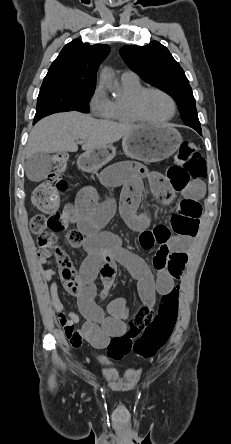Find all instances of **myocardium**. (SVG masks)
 Returning a JSON list of instances; mask_svg holds the SVG:
<instances>
[{
	"instance_id": "myocardium-1",
	"label": "myocardium",
	"mask_w": 231,
	"mask_h": 444,
	"mask_svg": "<svg viewBox=\"0 0 231 444\" xmlns=\"http://www.w3.org/2000/svg\"><path fill=\"white\" fill-rule=\"evenodd\" d=\"M150 92L160 93L170 101L171 106H172V112L169 117L161 119V120H154V119L148 118L143 113L142 106H141L142 100L145 97V95ZM130 109H131V112L134 115V117L137 120H139L140 122H144V123H148V124H164V123L171 121L175 117L176 112H177V104H176L174 98L165 90L157 88V87H147V88H142L133 96V98L131 99V102H130Z\"/></svg>"
}]
</instances>
